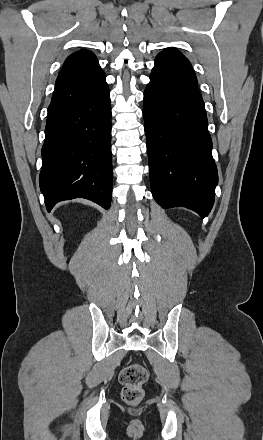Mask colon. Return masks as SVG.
Instances as JSON below:
<instances>
[{
	"instance_id": "1",
	"label": "colon",
	"mask_w": 263,
	"mask_h": 440,
	"mask_svg": "<svg viewBox=\"0 0 263 440\" xmlns=\"http://www.w3.org/2000/svg\"><path fill=\"white\" fill-rule=\"evenodd\" d=\"M119 379L123 385V401L129 405L139 404L144 397L143 385L148 380L146 368L141 364H130L122 369Z\"/></svg>"
}]
</instances>
